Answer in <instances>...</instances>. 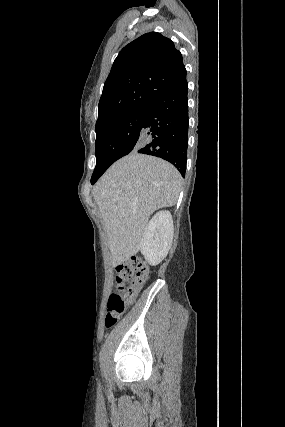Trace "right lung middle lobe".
Here are the masks:
<instances>
[{
	"mask_svg": "<svg viewBox=\"0 0 285 427\" xmlns=\"http://www.w3.org/2000/svg\"><path fill=\"white\" fill-rule=\"evenodd\" d=\"M145 115L146 107L132 110L95 128L97 162L92 177L105 172L116 160L137 148Z\"/></svg>",
	"mask_w": 285,
	"mask_h": 427,
	"instance_id": "dd1d6c3e",
	"label": "right lung middle lobe"
}]
</instances>
